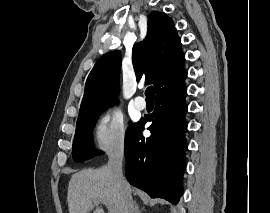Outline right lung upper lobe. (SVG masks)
<instances>
[{"mask_svg":"<svg viewBox=\"0 0 270 213\" xmlns=\"http://www.w3.org/2000/svg\"><path fill=\"white\" fill-rule=\"evenodd\" d=\"M132 61L137 81L154 84L157 92L185 70V55L173 20L163 12L148 16L146 38L134 45ZM120 51L104 54L95 63L85 85L78 120L100 113L114 103L118 96Z\"/></svg>","mask_w":270,"mask_h":213,"instance_id":"right-lung-upper-lobe-1","label":"right lung upper lobe"}]
</instances>
